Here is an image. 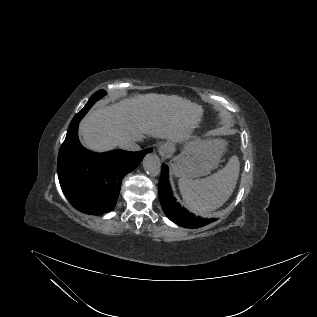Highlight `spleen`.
<instances>
[{
	"instance_id": "3e777b00",
	"label": "spleen",
	"mask_w": 317,
	"mask_h": 317,
	"mask_svg": "<svg viewBox=\"0 0 317 317\" xmlns=\"http://www.w3.org/2000/svg\"><path fill=\"white\" fill-rule=\"evenodd\" d=\"M239 171L238 157L232 156L223 169L204 179L180 178L178 185L185 204L199 214L219 208L232 195Z\"/></svg>"
}]
</instances>
